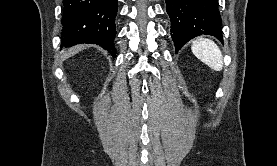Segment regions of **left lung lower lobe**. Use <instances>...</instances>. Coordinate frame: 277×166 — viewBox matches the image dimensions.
<instances>
[{"mask_svg":"<svg viewBox=\"0 0 277 166\" xmlns=\"http://www.w3.org/2000/svg\"><path fill=\"white\" fill-rule=\"evenodd\" d=\"M171 20L175 50L198 35H212L222 41L217 0H165Z\"/></svg>","mask_w":277,"mask_h":166,"instance_id":"1","label":"left lung lower lobe"}]
</instances>
